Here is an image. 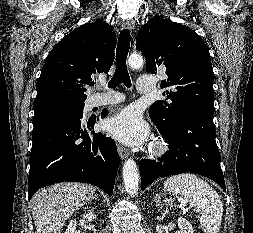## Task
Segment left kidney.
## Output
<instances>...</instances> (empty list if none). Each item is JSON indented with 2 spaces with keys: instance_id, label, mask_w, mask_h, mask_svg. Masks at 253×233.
<instances>
[{
  "instance_id": "5707ae66",
  "label": "left kidney",
  "mask_w": 253,
  "mask_h": 233,
  "mask_svg": "<svg viewBox=\"0 0 253 233\" xmlns=\"http://www.w3.org/2000/svg\"><path fill=\"white\" fill-rule=\"evenodd\" d=\"M178 227L181 233H194L191 223L183 217L178 218Z\"/></svg>"
}]
</instances>
